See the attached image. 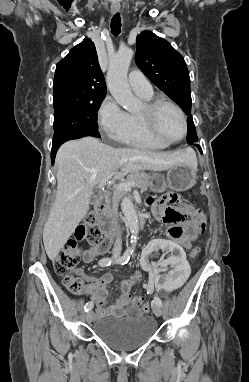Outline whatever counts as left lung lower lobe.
Masks as SVG:
<instances>
[{"instance_id":"1","label":"left lung lower lobe","mask_w":249,"mask_h":382,"mask_svg":"<svg viewBox=\"0 0 249 382\" xmlns=\"http://www.w3.org/2000/svg\"><path fill=\"white\" fill-rule=\"evenodd\" d=\"M199 149H200V151H201V148H200V146L199 145H197V144H195Z\"/></svg>"}]
</instances>
